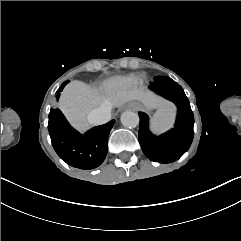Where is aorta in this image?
Masks as SVG:
<instances>
[{
	"label": "aorta",
	"instance_id": "762f6f07",
	"mask_svg": "<svg viewBox=\"0 0 241 241\" xmlns=\"http://www.w3.org/2000/svg\"><path fill=\"white\" fill-rule=\"evenodd\" d=\"M121 124L127 128H135L139 125V115L132 111H125L121 115Z\"/></svg>",
	"mask_w": 241,
	"mask_h": 241
}]
</instances>
